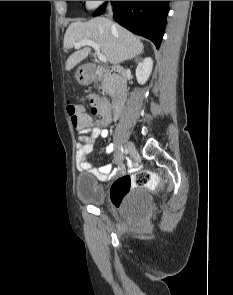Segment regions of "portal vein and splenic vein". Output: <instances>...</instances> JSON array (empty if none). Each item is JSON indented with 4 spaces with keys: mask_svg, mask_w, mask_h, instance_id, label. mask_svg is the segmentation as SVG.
Wrapping results in <instances>:
<instances>
[{
    "mask_svg": "<svg viewBox=\"0 0 233 295\" xmlns=\"http://www.w3.org/2000/svg\"><path fill=\"white\" fill-rule=\"evenodd\" d=\"M87 45L91 46L95 50V53L97 54V57L100 61H102V62L107 61L106 56L100 52L99 45L96 42H94L93 40H90V39L82 40V41L75 44V48L79 49L82 46H87Z\"/></svg>",
    "mask_w": 233,
    "mask_h": 295,
    "instance_id": "1",
    "label": "portal vein and splenic vein"
}]
</instances>
